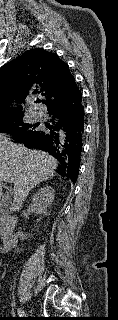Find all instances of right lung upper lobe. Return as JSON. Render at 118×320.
I'll list each match as a JSON object with an SVG mask.
<instances>
[{"instance_id":"cb5924a9","label":"right lung upper lobe","mask_w":118,"mask_h":320,"mask_svg":"<svg viewBox=\"0 0 118 320\" xmlns=\"http://www.w3.org/2000/svg\"><path fill=\"white\" fill-rule=\"evenodd\" d=\"M11 84V85H9ZM78 89L69 66L57 54L42 48L29 50L0 68V118L22 116V106L31 95H42L46 105Z\"/></svg>"}]
</instances>
